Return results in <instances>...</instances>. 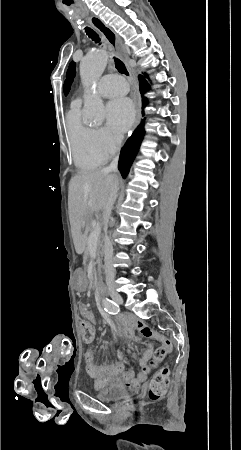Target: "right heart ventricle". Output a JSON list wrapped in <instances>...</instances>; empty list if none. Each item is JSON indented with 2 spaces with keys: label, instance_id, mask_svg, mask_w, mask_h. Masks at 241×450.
<instances>
[{
  "label": "right heart ventricle",
  "instance_id": "e07e8e85",
  "mask_svg": "<svg viewBox=\"0 0 241 450\" xmlns=\"http://www.w3.org/2000/svg\"><path fill=\"white\" fill-rule=\"evenodd\" d=\"M66 133L76 166L93 168L106 162L107 157L97 149L98 144L102 145L99 138H95L92 129L82 122L79 104L67 113Z\"/></svg>",
  "mask_w": 241,
  "mask_h": 450
}]
</instances>
